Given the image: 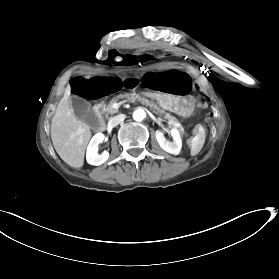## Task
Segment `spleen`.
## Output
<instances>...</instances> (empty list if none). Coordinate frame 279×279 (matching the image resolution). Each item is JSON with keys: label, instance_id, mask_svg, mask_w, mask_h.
Here are the masks:
<instances>
[{"label": "spleen", "instance_id": "spleen-1", "mask_svg": "<svg viewBox=\"0 0 279 279\" xmlns=\"http://www.w3.org/2000/svg\"><path fill=\"white\" fill-rule=\"evenodd\" d=\"M204 142V130L199 128L197 130V135H195L189 142V147L191 149V155H196L200 149L203 147Z\"/></svg>", "mask_w": 279, "mask_h": 279}]
</instances>
